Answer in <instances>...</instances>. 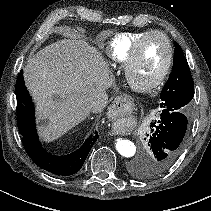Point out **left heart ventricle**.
<instances>
[{
  "label": "left heart ventricle",
  "mask_w": 211,
  "mask_h": 211,
  "mask_svg": "<svg viewBox=\"0 0 211 211\" xmlns=\"http://www.w3.org/2000/svg\"><path fill=\"white\" fill-rule=\"evenodd\" d=\"M167 59V45L159 35H153L144 42L132 77L138 85L150 84L160 73Z\"/></svg>",
  "instance_id": "b2bd125f"
}]
</instances>
